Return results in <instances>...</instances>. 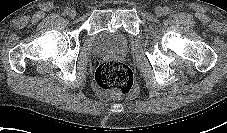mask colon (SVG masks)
I'll use <instances>...</instances> for the list:
<instances>
[{"mask_svg":"<svg viewBox=\"0 0 227 133\" xmlns=\"http://www.w3.org/2000/svg\"><path fill=\"white\" fill-rule=\"evenodd\" d=\"M95 83L104 92L126 94L132 89L133 75L124 63L118 60H107L98 66Z\"/></svg>","mask_w":227,"mask_h":133,"instance_id":"5ec220e1","label":"colon"}]
</instances>
